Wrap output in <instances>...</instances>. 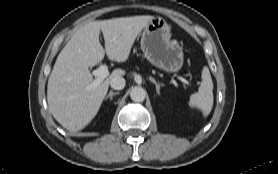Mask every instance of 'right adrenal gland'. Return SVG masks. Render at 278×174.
<instances>
[{
  "instance_id": "obj_1",
  "label": "right adrenal gland",
  "mask_w": 278,
  "mask_h": 174,
  "mask_svg": "<svg viewBox=\"0 0 278 174\" xmlns=\"http://www.w3.org/2000/svg\"><path fill=\"white\" fill-rule=\"evenodd\" d=\"M118 94H119V92L110 91L109 94L105 97V100H107L108 98H110V100H112L113 96L118 95Z\"/></svg>"
}]
</instances>
